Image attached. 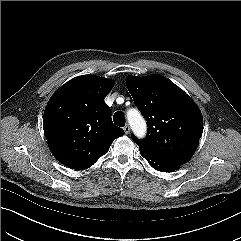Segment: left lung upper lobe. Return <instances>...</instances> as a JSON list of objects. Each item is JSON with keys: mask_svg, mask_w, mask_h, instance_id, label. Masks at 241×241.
I'll list each match as a JSON object with an SVG mask.
<instances>
[{"mask_svg": "<svg viewBox=\"0 0 241 241\" xmlns=\"http://www.w3.org/2000/svg\"><path fill=\"white\" fill-rule=\"evenodd\" d=\"M126 84L148 123L145 139L132 136L139 149L180 165L188 162L203 132V118L195 102L161 75L129 76Z\"/></svg>", "mask_w": 241, "mask_h": 241, "instance_id": "5c2ea615", "label": "left lung upper lobe"}]
</instances>
